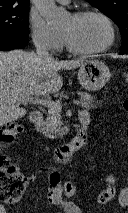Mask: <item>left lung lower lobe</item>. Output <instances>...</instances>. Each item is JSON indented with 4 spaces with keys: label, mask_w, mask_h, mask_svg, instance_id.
Segmentation results:
<instances>
[{
    "label": "left lung lower lobe",
    "mask_w": 128,
    "mask_h": 213,
    "mask_svg": "<svg viewBox=\"0 0 128 213\" xmlns=\"http://www.w3.org/2000/svg\"><path fill=\"white\" fill-rule=\"evenodd\" d=\"M120 54H121V55H123V54H128V50L120 51Z\"/></svg>",
    "instance_id": "left-lung-lower-lobe-1"
}]
</instances>
